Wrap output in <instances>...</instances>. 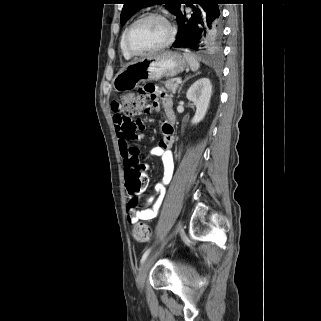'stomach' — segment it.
I'll return each instance as SVG.
<instances>
[{"mask_svg": "<svg viewBox=\"0 0 321 321\" xmlns=\"http://www.w3.org/2000/svg\"><path fill=\"white\" fill-rule=\"evenodd\" d=\"M187 67V61L180 53L165 51L142 58L122 68L113 80V87L117 92L130 91L143 81L175 77Z\"/></svg>", "mask_w": 321, "mask_h": 321, "instance_id": "stomach-1", "label": "stomach"}]
</instances>
